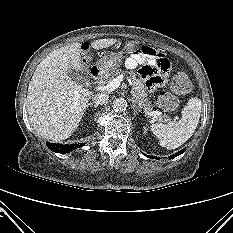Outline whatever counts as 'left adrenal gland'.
Returning a JSON list of instances; mask_svg holds the SVG:
<instances>
[{
    "mask_svg": "<svg viewBox=\"0 0 233 233\" xmlns=\"http://www.w3.org/2000/svg\"><path fill=\"white\" fill-rule=\"evenodd\" d=\"M132 107H133V110H134V115L136 116L137 113H138L137 111H141V108L136 105L135 100L133 98H132Z\"/></svg>",
    "mask_w": 233,
    "mask_h": 233,
    "instance_id": "left-adrenal-gland-1",
    "label": "left adrenal gland"
}]
</instances>
